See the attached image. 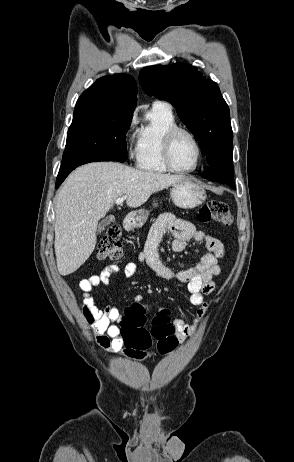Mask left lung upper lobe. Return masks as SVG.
Here are the masks:
<instances>
[{"instance_id":"1","label":"left lung upper lobe","mask_w":294,"mask_h":462,"mask_svg":"<svg viewBox=\"0 0 294 462\" xmlns=\"http://www.w3.org/2000/svg\"><path fill=\"white\" fill-rule=\"evenodd\" d=\"M148 95L170 102L194 134L209 166L233 165L230 112L217 83L185 63L143 68L139 74Z\"/></svg>"}]
</instances>
